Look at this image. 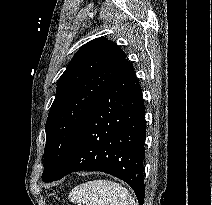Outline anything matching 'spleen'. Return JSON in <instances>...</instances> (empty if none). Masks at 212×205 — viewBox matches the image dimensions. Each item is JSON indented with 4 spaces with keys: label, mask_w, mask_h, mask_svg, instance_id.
<instances>
[{
    "label": "spleen",
    "mask_w": 212,
    "mask_h": 205,
    "mask_svg": "<svg viewBox=\"0 0 212 205\" xmlns=\"http://www.w3.org/2000/svg\"><path fill=\"white\" fill-rule=\"evenodd\" d=\"M69 198L77 205H137L128 189L110 180L80 184L72 190Z\"/></svg>",
    "instance_id": "obj_1"
}]
</instances>
